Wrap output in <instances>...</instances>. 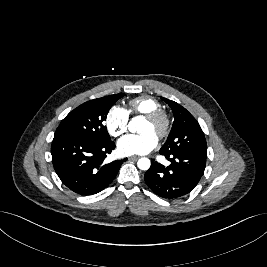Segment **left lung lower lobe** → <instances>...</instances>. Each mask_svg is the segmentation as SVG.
Returning a JSON list of instances; mask_svg holds the SVG:
<instances>
[{
    "mask_svg": "<svg viewBox=\"0 0 267 267\" xmlns=\"http://www.w3.org/2000/svg\"><path fill=\"white\" fill-rule=\"evenodd\" d=\"M171 164L167 167L152 160L144 175L149 188L158 196L176 199L188 194L201 179L206 157L191 153L161 154Z\"/></svg>",
    "mask_w": 267,
    "mask_h": 267,
    "instance_id": "1",
    "label": "left lung lower lobe"
}]
</instances>
